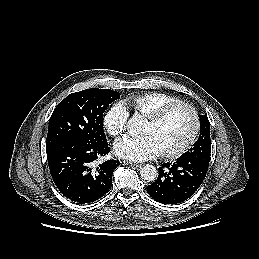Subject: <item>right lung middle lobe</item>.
Listing matches in <instances>:
<instances>
[{"label":"right lung middle lobe","mask_w":259,"mask_h":259,"mask_svg":"<svg viewBox=\"0 0 259 259\" xmlns=\"http://www.w3.org/2000/svg\"><path fill=\"white\" fill-rule=\"evenodd\" d=\"M119 97L116 91L96 88L68 95L50 117L46 150L64 142L107 143L103 113Z\"/></svg>","instance_id":"dd1d6c3e"}]
</instances>
